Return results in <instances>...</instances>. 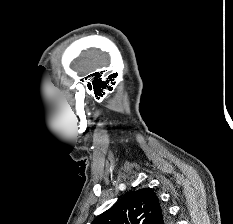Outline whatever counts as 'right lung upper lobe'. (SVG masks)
<instances>
[{
  "label": "right lung upper lobe",
  "instance_id": "cb5924a9",
  "mask_svg": "<svg viewBox=\"0 0 233 224\" xmlns=\"http://www.w3.org/2000/svg\"><path fill=\"white\" fill-rule=\"evenodd\" d=\"M170 219L158 197L148 188L127 193L92 224H168Z\"/></svg>",
  "mask_w": 233,
  "mask_h": 224
}]
</instances>
